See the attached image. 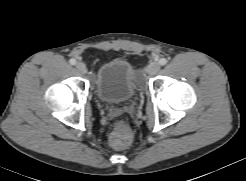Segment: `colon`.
<instances>
[{"mask_svg":"<svg viewBox=\"0 0 246 181\" xmlns=\"http://www.w3.org/2000/svg\"><path fill=\"white\" fill-rule=\"evenodd\" d=\"M133 139V132L131 127L125 122H118L115 124L110 136L109 145L113 149H122L128 146Z\"/></svg>","mask_w":246,"mask_h":181,"instance_id":"1","label":"colon"}]
</instances>
